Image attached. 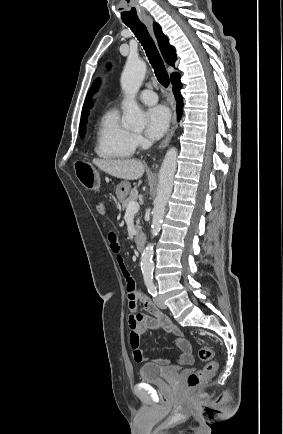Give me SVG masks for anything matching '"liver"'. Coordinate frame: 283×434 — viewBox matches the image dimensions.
<instances>
[{
    "label": "liver",
    "instance_id": "1",
    "mask_svg": "<svg viewBox=\"0 0 283 434\" xmlns=\"http://www.w3.org/2000/svg\"><path fill=\"white\" fill-rule=\"evenodd\" d=\"M92 162L99 169L108 173L109 175L125 180L140 179L145 171L144 164L140 160L136 159H93Z\"/></svg>",
    "mask_w": 283,
    "mask_h": 434
}]
</instances>
